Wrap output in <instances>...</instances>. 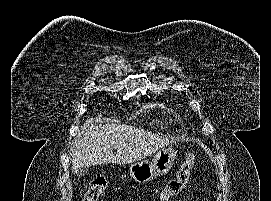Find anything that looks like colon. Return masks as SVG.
I'll return each instance as SVG.
<instances>
[{
  "label": "colon",
  "instance_id": "5ec220e1",
  "mask_svg": "<svg viewBox=\"0 0 271 201\" xmlns=\"http://www.w3.org/2000/svg\"><path fill=\"white\" fill-rule=\"evenodd\" d=\"M195 161V156L192 153L186 156L184 162L177 171L176 176L162 189L157 201H169L172 197L182 192L189 183ZM106 188L107 180L104 177L99 176L94 178L84 194L83 201H98Z\"/></svg>",
  "mask_w": 271,
  "mask_h": 201
}]
</instances>
